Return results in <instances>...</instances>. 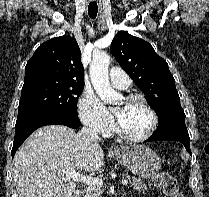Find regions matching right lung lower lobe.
<instances>
[{
	"label": "right lung lower lobe",
	"mask_w": 209,
	"mask_h": 197,
	"mask_svg": "<svg viewBox=\"0 0 209 197\" xmlns=\"http://www.w3.org/2000/svg\"><path fill=\"white\" fill-rule=\"evenodd\" d=\"M53 124L66 125L71 128H78L81 125L78 116H72L60 112L38 114L20 121H16L15 137L11 152L12 157H14L18 147L33 131L39 127Z\"/></svg>",
	"instance_id": "obj_1"
}]
</instances>
